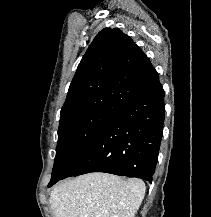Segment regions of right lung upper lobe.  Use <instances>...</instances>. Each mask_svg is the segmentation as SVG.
I'll use <instances>...</instances> for the list:
<instances>
[{
	"instance_id": "right-lung-upper-lobe-1",
	"label": "right lung upper lobe",
	"mask_w": 211,
	"mask_h": 217,
	"mask_svg": "<svg viewBox=\"0 0 211 217\" xmlns=\"http://www.w3.org/2000/svg\"><path fill=\"white\" fill-rule=\"evenodd\" d=\"M158 82V73L133 40L120 29L105 28L78 65L60 123L94 112L118 113Z\"/></svg>"
}]
</instances>
